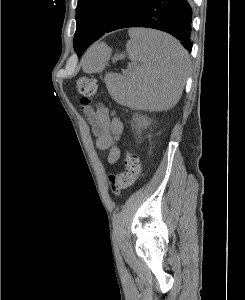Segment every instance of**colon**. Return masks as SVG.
Instances as JSON below:
<instances>
[{"label":"colon","instance_id":"obj_1","mask_svg":"<svg viewBox=\"0 0 245 300\" xmlns=\"http://www.w3.org/2000/svg\"><path fill=\"white\" fill-rule=\"evenodd\" d=\"M97 81L92 77H80L75 87L81 95V106H88L92 101V97L97 91ZM123 171L118 174L108 176L109 187L113 194L119 195L122 190L133 185L140 175V160L137 154L127 151L123 160Z\"/></svg>","mask_w":245,"mask_h":300}]
</instances>
